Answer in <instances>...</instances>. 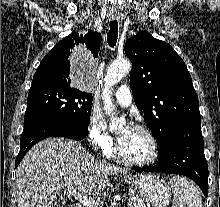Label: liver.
Returning <instances> with one entry per match:
<instances>
[{
    "instance_id": "1",
    "label": "liver",
    "mask_w": 220,
    "mask_h": 207,
    "mask_svg": "<svg viewBox=\"0 0 220 207\" xmlns=\"http://www.w3.org/2000/svg\"><path fill=\"white\" fill-rule=\"evenodd\" d=\"M127 170L95 159L80 143L65 138L38 142L17 168L18 207H53L60 190L75 186L80 194L95 196L110 175Z\"/></svg>"
}]
</instances>
